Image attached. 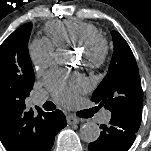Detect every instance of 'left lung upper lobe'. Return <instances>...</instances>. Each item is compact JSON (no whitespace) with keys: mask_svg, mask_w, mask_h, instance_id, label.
Listing matches in <instances>:
<instances>
[{"mask_svg":"<svg viewBox=\"0 0 151 151\" xmlns=\"http://www.w3.org/2000/svg\"><path fill=\"white\" fill-rule=\"evenodd\" d=\"M114 53L105 78L94 91L91 100L112 113L111 119L121 121L134 131L141 124L143 90L133 53L125 39L111 32Z\"/></svg>","mask_w":151,"mask_h":151,"instance_id":"5c2ea615","label":"left lung upper lobe"}]
</instances>
